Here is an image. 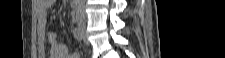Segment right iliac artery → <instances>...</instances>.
<instances>
[{"label":"right iliac artery","instance_id":"82829eb1","mask_svg":"<svg viewBox=\"0 0 225 58\" xmlns=\"http://www.w3.org/2000/svg\"><path fill=\"white\" fill-rule=\"evenodd\" d=\"M73 35L74 37L78 40V41H81L82 40V36H81V33L79 31V29L77 27H75L73 29Z\"/></svg>","mask_w":225,"mask_h":58}]
</instances>
